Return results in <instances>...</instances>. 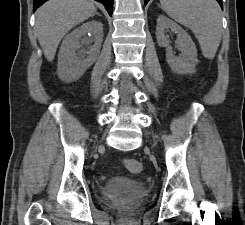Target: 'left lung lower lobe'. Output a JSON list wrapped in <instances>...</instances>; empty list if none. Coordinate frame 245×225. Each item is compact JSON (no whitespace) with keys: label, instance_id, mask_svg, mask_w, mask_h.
<instances>
[{"label":"left lung lower lobe","instance_id":"1","mask_svg":"<svg viewBox=\"0 0 245 225\" xmlns=\"http://www.w3.org/2000/svg\"><path fill=\"white\" fill-rule=\"evenodd\" d=\"M149 0H144L145 5L148 3ZM220 4V6L223 8L222 0H217Z\"/></svg>","mask_w":245,"mask_h":225}]
</instances>
